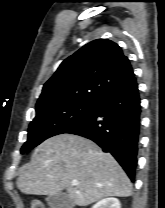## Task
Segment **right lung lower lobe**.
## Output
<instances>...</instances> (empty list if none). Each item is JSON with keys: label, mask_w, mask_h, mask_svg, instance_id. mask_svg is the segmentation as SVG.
<instances>
[{"label": "right lung lower lobe", "mask_w": 165, "mask_h": 208, "mask_svg": "<svg viewBox=\"0 0 165 208\" xmlns=\"http://www.w3.org/2000/svg\"><path fill=\"white\" fill-rule=\"evenodd\" d=\"M140 97L136 78L103 96L92 112L67 133L80 135L111 153L131 181L135 178L140 134Z\"/></svg>", "instance_id": "obj_1"}]
</instances>
